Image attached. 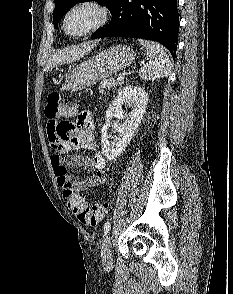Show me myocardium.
<instances>
[{
  "label": "myocardium",
  "instance_id": "myocardium-1",
  "mask_svg": "<svg viewBox=\"0 0 233 294\" xmlns=\"http://www.w3.org/2000/svg\"><path fill=\"white\" fill-rule=\"evenodd\" d=\"M81 8L94 9L97 13L96 22L86 31L79 33V34H72L67 30L68 18L70 17V15L74 11L81 9ZM109 16H110L109 9L104 4L99 2L98 0H79V1L75 2L64 14V17L62 20V29H63L64 33L69 37L83 38V37H86L88 35L93 34L97 30H99L101 27H103L107 23Z\"/></svg>",
  "mask_w": 233,
  "mask_h": 294
}]
</instances>
